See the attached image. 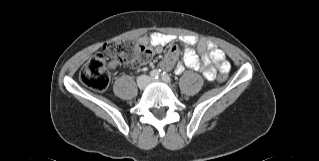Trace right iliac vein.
<instances>
[{
	"mask_svg": "<svg viewBox=\"0 0 319 161\" xmlns=\"http://www.w3.org/2000/svg\"><path fill=\"white\" fill-rule=\"evenodd\" d=\"M148 83V78L146 76H141L137 82L140 89H144Z\"/></svg>",
	"mask_w": 319,
	"mask_h": 161,
	"instance_id": "obj_1",
	"label": "right iliac vein"
}]
</instances>
